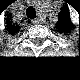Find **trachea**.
<instances>
[{"instance_id":"trachea-1","label":"trachea","mask_w":80,"mask_h":80,"mask_svg":"<svg viewBox=\"0 0 80 80\" xmlns=\"http://www.w3.org/2000/svg\"><path fill=\"white\" fill-rule=\"evenodd\" d=\"M26 15L28 18L34 19L36 18V11L33 7H28L26 10Z\"/></svg>"}]
</instances>
